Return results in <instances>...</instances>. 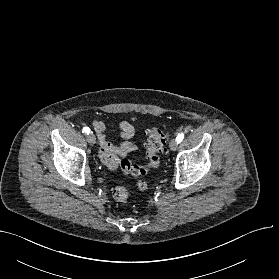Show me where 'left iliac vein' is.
<instances>
[{
    "label": "left iliac vein",
    "instance_id": "4c4485c4",
    "mask_svg": "<svg viewBox=\"0 0 279 279\" xmlns=\"http://www.w3.org/2000/svg\"><path fill=\"white\" fill-rule=\"evenodd\" d=\"M169 147L172 151H175L178 147V143L176 142V140H172L170 143H169Z\"/></svg>",
    "mask_w": 279,
    "mask_h": 279
}]
</instances>
